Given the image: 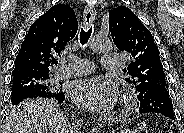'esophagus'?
<instances>
[{
  "label": "esophagus",
  "mask_w": 184,
  "mask_h": 133,
  "mask_svg": "<svg viewBox=\"0 0 184 133\" xmlns=\"http://www.w3.org/2000/svg\"><path fill=\"white\" fill-rule=\"evenodd\" d=\"M96 18V10L93 6H86L83 11V24L85 27H88ZM93 132H101L100 127L95 126L92 128Z\"/></svg>",
  "instance_id": "1"
}]
</instances>
